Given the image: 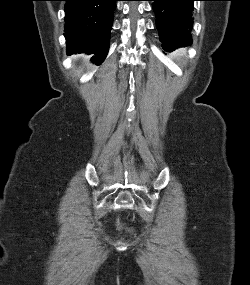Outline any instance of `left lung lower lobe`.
<instances>
[{
  "label": "left lung lower lobe",
  "instance_id": "1",
  "mask_svg": "<svg viewBox=\"0 0 250 285\" xmlns=\"http://www.w3.org/2000/svg\"><path fill=\"white\" fill-rule=\"evenodd\" d=\"M153 1L156 26L165 51L191 44L193 2L197 0H149Z\"/></svg>",
  "mask_w": 250,
  "mask_h": 285
}]
</instances>
